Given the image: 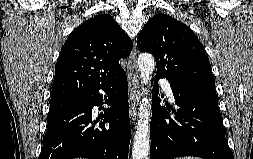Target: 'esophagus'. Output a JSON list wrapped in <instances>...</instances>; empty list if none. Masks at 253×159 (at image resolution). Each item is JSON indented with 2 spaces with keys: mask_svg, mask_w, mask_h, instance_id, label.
<instances>
[{
  "mask_svg": "<svg viewBox=\"0 0 253 159\" xmlns=\"http://www.w3.org/2000/svg\"><path fill=\"white\" fill-rule=\"evenodd\" d=\"M127 76H128V85L130 89L129 94V115L135 120L138 112V102L140 96V83L137 72V47L134 44V47L129 55L128 59V68H127Z\"/></svg>",
  "mask_w": 253,
  "mask_h": 159,
  "instance_id": "1",
  "label": "esophagus"
}]
</instances>
